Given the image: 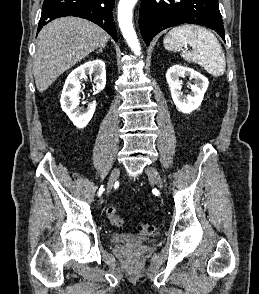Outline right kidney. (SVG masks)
Wrapping results in <instances>:
<instances>
[{
    "instance_id": "ca27d5eb",
    "label": "right kidney",
    "mask_w": 259,
    "mask_h": 294,
    "mask_svg": "<svg viewBox=\"0 0 259 294\" xmlns=\"http://www.w3.org/2000/svg\"><path fill=\"white\" fill-rule=\"evenodd\" d=\"M87 75L93 77L96 88L95 94L105 88V63L100 59L88 61L68 75L60 99L62 110L78 128H84L89 123L96 108L95 101L89 103L87 108H78L80 102L78 93L81 89V80L86 78Z\"/></svg>"
}]
</instances>
